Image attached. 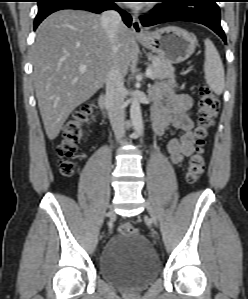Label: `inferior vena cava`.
Wrapping results in <instances>:
<instances>
[{
  "mask_svg": "<svg viewBox=\"0 0 248 299\" xmlns=\"http://www.w3.org/2000/svg\"><path fill=\"white\" fill-rule=\"evenodd\" d=\"M122 24L121 16L117 11L108 10L102 13L101 25L106 31L109 47L116 51L117 30ZM124 79L119 68L113 64L106 80V108L116 140L119 141L125 134V105Z\"/></svg>",
  "mask_w": 248,
  "mask_h": 299,
  "instance_id": "obj_1",
  "label": "inferior vena cava"
}]
</instances>
